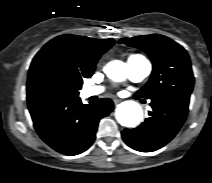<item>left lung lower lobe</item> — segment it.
<instances>
[{
	"mask_svg": "<svg viewBox=\"0 0 212 183\" xmlns=\"http://www.w3.org/2000/svg\"><path fill=\"white\" fill-rule=\"evenodd\" d=\"M150 117L134 129L122 131L124 142L141 152L155 151L167 144L183 125L189 106L187 97H155L151 99Z\"/></svg>",
	"mask_w": 212,
	"mask_h": 183,
	"instance_id": "left-lung-lower-lobe-1",
	"label": "left lung lower lobe"
}]
</instances>
